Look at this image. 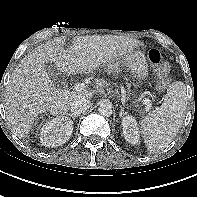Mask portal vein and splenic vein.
Here are the masks:
<instances>
[{
    "label": "portal vein and splenic vein",
    "instance_id": "1",
    "mask_svg": "<svg viewBox=\"0 0 197 197\" xmlns=\"http://www.w3.org/2000/svg\"><path fill=\"white\" fill-rule=\"evenodd\" d=\"M84 88H85L84 83H76L75 86H74V89L76 91H82V90H84ZM143 104L145 105L146 112H149L151 110V107H152L151 100L144 99Z\"/></svg>",
    "mask_w": 197,
    "mask_h": 197
}]
</instances>
